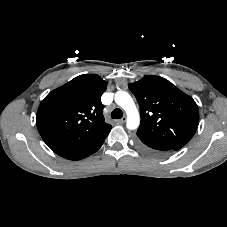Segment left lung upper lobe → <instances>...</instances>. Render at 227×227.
Returning <instances> with one entry per match:
<instances>
[{
    "mask_svg": "<svg viewBox=\"0 0 227 227\" xmlns=\"http://www.w3.org/2000/svg\"><path fill=\"white\" fill-rule=\"evenodd\" d=\"M129 89L140 107V141L172 151L190 141L199 124V110L193 98L167 79L154 75L130 83Z\"/></svg>",
    "mask_w": 227,
    "mask_h": 227,
    "instance_id": "1",
    "label": "left lung upper lobe"
}]
</instances>
